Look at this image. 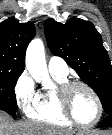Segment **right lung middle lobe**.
<instances>
[{
	"label": "right lung middle lobe",
	"mask_w": 112,
	"mask_h": 135,
	"mask_svg": "<svg viewBox=\"0 0 112 135\" xmlns=\"http://www.w3.org/2000/svg\"><path fill=\"white\" fill-rule=\"evenodd\" d=\"M21 73H0V110L16 116L18 111L14 88Z\"/></svg>",
	"instance_id": "dd1d6c3e"
}]
</instances>
